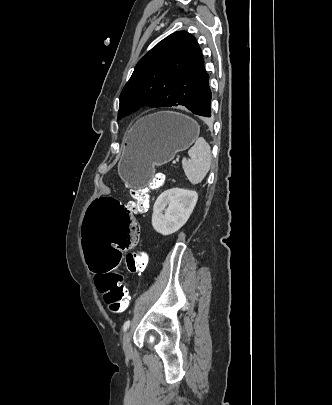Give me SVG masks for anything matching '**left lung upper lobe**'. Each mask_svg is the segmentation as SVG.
I'll return each mask as SVG.
<instances>
[{"instance_id": "obj_1", "label": "left lung upper lobe", "mask_w": 332, "mask_h": 405, "mask_svg": "<svg viewBox=\"0 0 332 405\" xmlns=\"http://www.w3.org/2000/svg\"><path fill=\"white\" fill-rule=\"evenodd\" d=\"M204 73L195 37L185 31L169 35L137 63L120 94L119 117L143 105L190 107Z\"/></svg>"}]
</instances>
